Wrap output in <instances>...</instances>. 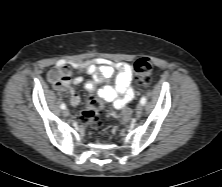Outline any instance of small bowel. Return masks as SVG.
Wrapping results in <instances>:
<instances>
[{
	"mask_svg": "<svg viewBox=\"0 0 222 187\" xmlns=\"http://www.w3.org/2000/svg\"><path fill=\"white\" fill-rule=\"evenodd\" d=\"M75 69L86 72L92 79L85 83L88 92L96 91L97 96L109 103L115 109L124 110L126 105L135 98V91L131 87L132 70L125 62H111L104 58H96L84 63H74ZM118 72L116 82L113 86H104L96 90V86L105 79ZM50 84L58 91H68L71 105L76 106L80 97L72 85L82 84V76L72 78L68 64L65 61H58L47 75Z\"/></svg>",
	"mask_w": 222,
	"mask_h": 187,
	"instance_id": "1",
	"label": "small bowel"
}]
</instances>
